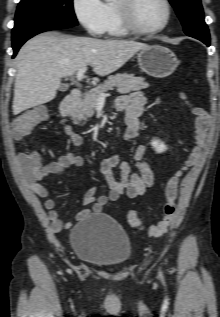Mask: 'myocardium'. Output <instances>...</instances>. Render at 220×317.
<instances>
[{"instance_id":"1","label":"myocardium","mask_w":220,"mask_h":317,"mask_svg":"<svg viewBox=\"0 0 220 317\" xmlns=\"http://www.w3.org/2000/svg\"><path fill=\"white\" fill-rule=\"evenodd\" d=\"M166 9V16L163 23L154 29H141L133 18V9L137 0H116L115 11L122 28L132 35L151 36L162 32L167 28L172 19V5L169 0H161Z\"/></svg>"}]
</instances>
